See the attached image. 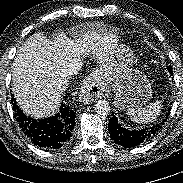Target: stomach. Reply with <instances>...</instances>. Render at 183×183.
<instances>
[{
  "label": "stomach",
  "mask_w": 183,
  "mask_h": 183,
  "mask_svg": "<svg viewBox=\"0 0 183 183\" xmlns=\"http://www.w3.org/2000/svg\"><path fill=\"white\" fill-rule=\"evenodd\" d=\"M135 56L128 46L116 45L109 60L99 70L102 81L115 92V105L120 109L142 107L152 96L151 84L138 69L131 68Z\"/></svg>",
  "instance_id": "stomach-1"
}]
</instances>
